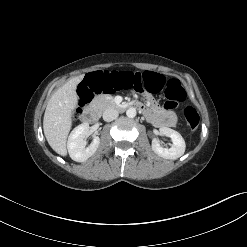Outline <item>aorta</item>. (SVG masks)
Masks as SVG:
<instances>
[{"instance_id": "762f6f07", "label": "aorta", "mask_w": 247, "mask_h": 247, "mask_svg": "<svg viewBox=\"0 0 247 247\" xmlns=\"http://www.w3.org/2000/svg\"><path fill=\"white\" fill-rule=\"evenodd\" d=\"M126 115L129 118H134L136 116V109L131 107L126 111Z\"/></svg>"}]
</instances>
